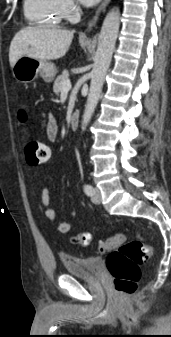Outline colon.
I'll return each instance as SVG.
<instances>
[{
  "mask_svg": "<svg viewBox=\"0 0 171 337\" xmlns=\"http://www.w3.org/2000/svg\"><path fill=\"white\" fill-rule=\"evenodd\" d=\"M21 121L26 119L24 113L19 116ZM26 162L29 165H38L49 161L51 150L39 140L28 139L24 145ZM91 235L81 233L72 237V243L86 247L90 244ZM99 252H109L106 264L114 280L116 293L120 296H129L137 288L141 277L140 265L151 255V248L139 240L126 241L123 234H117L98 246Z\"/></svg>",
  "mask_w": 171,
  "mask_h": 337,
  "instance_id": "obj_1",
  "label": "colon"
}]
</instances>
